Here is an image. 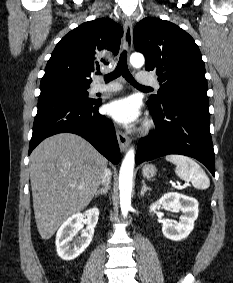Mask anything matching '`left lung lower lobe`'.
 I'll return each instance as SVG.
<instances>
[{"mask_svg": "<svg viewBox=\"0 0 233 283\" xmlns=\"http://www.w3.org/2000/svg\"><path fill=\"white\" fill-rule=\"evenodd\" d=\"M156 131L140 140L136 163L167 154L196 158L215 175V156L209 130L208 96L187 93L160 106L147 102Z\"/></svg>", "mask_w": 233, "mask_h": 283, "instance_id": "obj_1", "label": "left lung lower lobe"}]
</instances>
